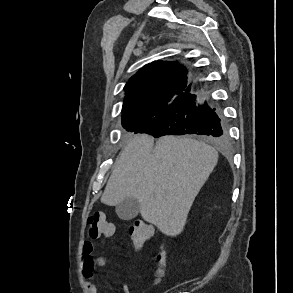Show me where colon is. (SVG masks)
<instances>
[{"label":"colon","mask_w":293,"mask_h":293,"mask_svg":"<svg viewBox=\"0 0 293 293\" xmlns=\"http://www.w3.org/2000/svg\"><path fill=\"white\" fill-rule=\"evenodd\" d=\"M88 233L92 239H98L102 236L112 237L115 234L113 225L106 219L101 211L91 212L87 219ZM131 242L137 248L142 247L154 235V228L143 220H135L128 230ZM158 268L156 270V279L160 280L164 274L165 256L160 252L157 256Z\"/></svg>","instance_id":"1"}]
</instances>
